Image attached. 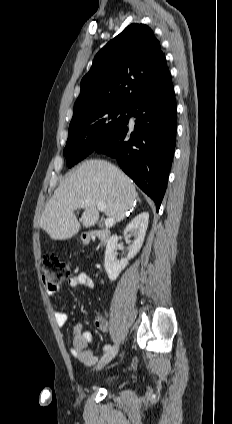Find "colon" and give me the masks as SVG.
Listing matches in <instances>:
<instances>
[{"label": "colon", "mask_w": 232, "mask_h": 424, "mask_svg": "<svg viewBox=\"0 0 232 424\" xmlns=\"http://www.w3.org/2000/svg\"><path fill=\"white\" fill-rule=\"evenodd\" d=\"M40 271L43 284L48 289H55L62 281L70 277L72 267L69 261L47 253L41 257Z\"/></svg>", "instance_id": "5ec220e1"}]
</instances>
